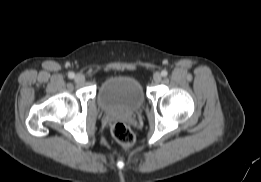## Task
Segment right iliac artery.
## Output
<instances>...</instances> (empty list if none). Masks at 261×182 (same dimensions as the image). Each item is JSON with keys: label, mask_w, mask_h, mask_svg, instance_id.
<instances>
[{"label": "right iliac artery", "mask_w": 261, "mask_h": 182, "mask_svg": "<svg viewBox=\"0 0 261 182\" xmlns=\"http://www.w3.org/2000/svg\"><path fill=\"white\" fill-rule=\"evenodd\" d=\"M68 77L72 79V78L75 77V74H74L73 72H70V73L68 74Z\"/></svg>", "instance_id": "right-iliac-artery-1"}]
</instances>
